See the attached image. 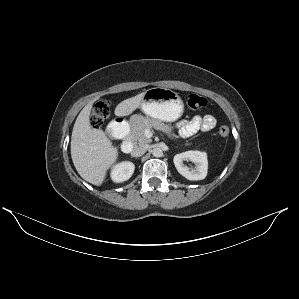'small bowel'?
<instances>
[{
    "mask_svg": "<svg viewBox=\"0 0 299 299\" xmlns=\"http://www.w3.org/2000/svg\"><path fill=\"white\" fill-rule=\"evenodd\" d=\"M216 124V119L212 115L195 116L190 121L178 123V133L181 137H189L201 131H209Z\"/></svg>",
    "mask_w": 299,
    "mask_h": 299,
    "instance_id": "obj_1",
    "label": "small bowel"
}]
</instances>
